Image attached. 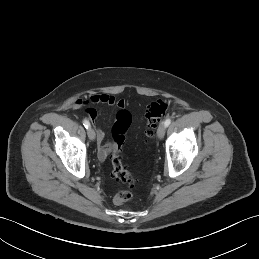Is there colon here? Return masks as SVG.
<instances>
[{"label": "colon", "mask_w": 259, "mask_h": 259, "mask_svg": "<svg viewBox=\"0 0 259 259\" xmlns=\"http://www.w3.org/2000/svg\"><path fill=\"white\" fill-rule=\"evenodd\" d=\"M168 110V104L162 100L153 101L149 104L146 118V136L153 138L157 124L165 116ZM132 122L131 113L128 110L122 109L115 116V121L112 127L113 138V155L111 165L113 167V176L115 180L134 186L135 178L127 171L121 160V150L125 142V135ZM132 198V193L128 190H118L115 192L113 200L116 204H122Z\"/></svg>", "instance_id": "1"}]
</instances>
